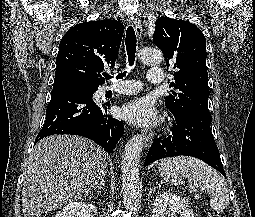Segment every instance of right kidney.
<instances>
[{
    "label": "right kidney",
    "mask_w": 255,
    "mask_h": 217,
    "mask_svg": "<svg viewBox=\"0 0 255 217\" xmlns=\"http://www.w3.org/2000/svg\"><path fill=\"white\" fill-rule=\"evenodd\" d=\"M96 207L86 202H71L61 211L57 212L55 217H94Z\"/></svg>",
    "instance_id": "ca27d5eb"
}]
</instances>
